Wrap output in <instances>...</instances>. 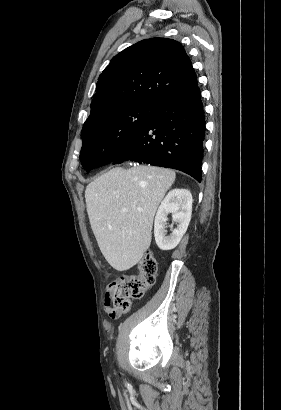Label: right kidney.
<instances>
[{
  "mask_svg": "<svg viewBox=\"0 0 281 410\" xmlns=\"http://www.w3.org/2000/svg\"><path fill=\"white\" fill-rule=\"evenodd\" d=\"M192 195L186 189L171 190L158 208L154 222V236L161 250L175 248L185 234L191 220ZM172 213L177 227L166 235L167 215Z\"/></svg>",
  "mask_w": 281,
  "mask_h": 410,
  "instance_id": "right-kidney-1",
  "label": "right kidney"
}]
</instances>
